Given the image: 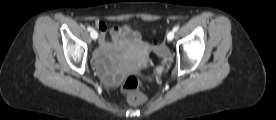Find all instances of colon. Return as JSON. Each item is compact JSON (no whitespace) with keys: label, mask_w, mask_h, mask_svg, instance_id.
<instances>
[{"label":"colon","mask_w":276,"mask_h":120,"mask_svg":"<svg viewBox=\"0 0 276 120\" xmlns=\"http://www.w3.org/2000/svg\"><path fill=\"white\" fill-rule=\"evenodd\" d=\"M162 54L167 57L168 53L166 50H161ZM162 66H157L155 69V74L159 75L162 72ZM139 80L136 76H128L122 85V91L128 96L130 101L135 105H140L146 102V97L141 95L138 91Z\"/></svg>","instance_id":"obj_1"}]
</instances>
